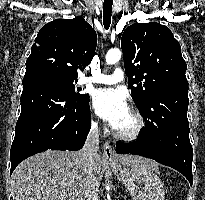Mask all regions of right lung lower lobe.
I'll return each instance as SVG.
<instances>
[{"label":"right lung lower lobe","mask_w":205,"mask_h":200,"mask_svg":"<svg viewBox=\"0 0 205 200\" xmlns=\"http://www.w3.org/2000/svg\"><path fill=\"white\" fill-rule=\"evenodd\" d=\"M22 84L10 174L21 161L36 153L81 149L91 125L89 99H75L57 83L44 79L28 78Z\"/></svg>","instance_id":"obj_1"}]
</instances>
